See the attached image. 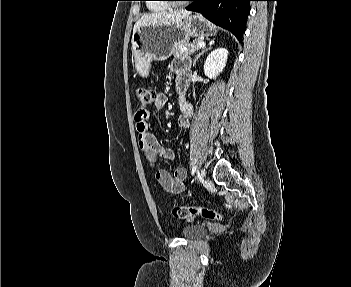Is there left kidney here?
Returning <instances> with one entry per match:
<instances>
[{"label":"left kidney","mask_w":351,"mask_h":287,"mask_svg":"<svg viewBox=\"0 0 351 287\" xmlns=\"http://www.w3.org/2000/svg\"><path fill=\"white\" fill-rule=\"evenodd\" d=\"M228 57V51L225 48L213 50L206 58L204 63V73L210 79H215L224 69Z\"/></svg>","instance_id":"5707ae66"}]
</instances>
